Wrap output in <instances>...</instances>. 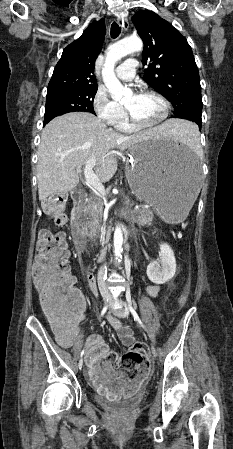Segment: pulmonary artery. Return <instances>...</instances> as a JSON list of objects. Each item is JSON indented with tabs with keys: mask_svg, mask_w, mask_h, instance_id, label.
<instances>
[{
	"mask_svg": "<svg viewBox=\"0 0 233 449\" xmlns=\"http://www.w3.org/2000/svg\"><path fill=\"white\" fill-rule=\"evenodd\" d=\"M138 63L135 59H126L116 69V76L122 81H131L136 73Z\"/></svg>",
	"mask_w": 233,
	"mask_h": 449,
	"instance_id": "e3ab8cb5",
	"label": "pulmonary artery"
}]
</instances>
